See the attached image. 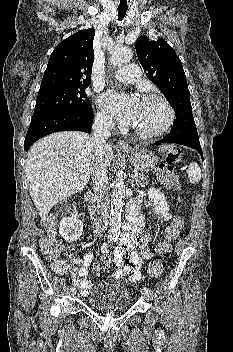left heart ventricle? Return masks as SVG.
<instances>
[{"mask_svg": "<svg viewBox=\"0 0 233 352\" xmlns=\"http://www.w3.org/2000/svg\"><path fill=\"white\" fill-rule=\"evenodd\" d=\"M168 117L165 106L158 100H141L133 126L142 131L161 128Z\"/></svg>", "mask_w": 233, "mask_h": 352, "instance_id": "b2bd125f", "label": "left heart ventricle"}]
</instances>
